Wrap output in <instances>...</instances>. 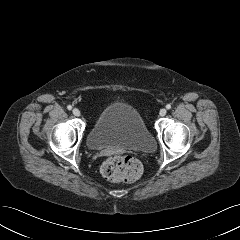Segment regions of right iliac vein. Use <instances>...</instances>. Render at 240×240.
Segmentation results:
<instances>
[{"label":"right iliac vein","instance_id":"right-iliac-vein-1","mask_svg":"<svg viewBox=\"0 0 240 240\" xmlns=\"http://www.w3.org/2000/svg\"><path fill=\"white\" fill-rule=\"evenodd\" d=\"M72 113H73L74 116H80V111H79V109H77V108H74V109L72 110Z\"/></svg>","mask_w":240,"mask_h":240}]
</instances>
